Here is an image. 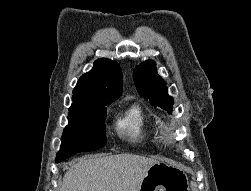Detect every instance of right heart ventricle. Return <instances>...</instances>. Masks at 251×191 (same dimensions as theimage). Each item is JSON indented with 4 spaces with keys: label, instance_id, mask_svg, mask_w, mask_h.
Masks as SVG:
<instances>
[{
    "label": "right heart ventricle",
    "instance_id": "1",
    "mask_svg": "<svg viewBox=\"0 0 251 191\" xmlns=\"http://www.w3.org/2000/svg\"><path fill=\"white\" fill-rule=\"evenodd\" d=\"M117 136L132 146L150 149L156 145L150 118L139 103H132L115 122Z\"/></svg>",
    "mask_w": 251,
    "mask_h": 191
}]
</instances>
